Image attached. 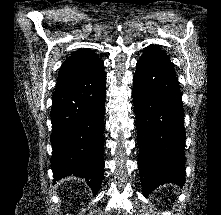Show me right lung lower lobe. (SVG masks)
<instances>
[{
  "label": "right lung lower lobe",
  "mask_w": 221,
  "mask_h": 215,
  "mask_svg": "<svg viewBox=\"0 0 221 215\" xmlns=\"http://www.w3.org/2000/svg\"><path fill=\"white\" fill-rule=\"evenodd\" d=\"M104 69L72 85L55 90L52 98L51 168L55 178L70 174L89 181L96 194L102 182Z\"/></svg>",
  "instance_id": "obj_1"
}]
</instances>
